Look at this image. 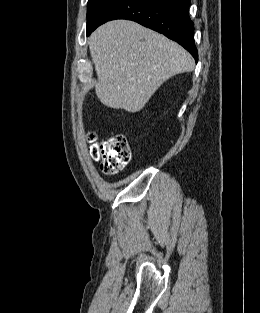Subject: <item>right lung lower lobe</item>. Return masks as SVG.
Segmentation results:
<instances>
[{"mask_svg":"<svg viewBox=\"0 0 260 313\" xmlns=\"http://www.w3.org/2000/svg\"><path fill=\"white\" fill-rule=\"evenodd\" d=\"M190 0H117L87 35L113 19H128L178 42L198 60L194 23L189 17Z\"/></svg>","mask_w":260,"mask_h":313,"instance_id":"98d812e1","label":"right lung lower lobe"}]
</instances>
